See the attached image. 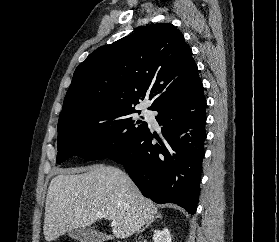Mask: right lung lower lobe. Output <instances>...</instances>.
Wrapping results in <instances>:
<instances>
[{
	"instance_id": "98d812e1",
	"label": "right lung lower lobe",
	"mask_w": 279,
	"mask_h": 242,
	"mask_svg": "<svg viewBox=\"0 0 279 242\" xmlns=\"http://www.w3.org/2000/svg\"><path fill=\"white\" fill-rule=\"evenodd\" d=\"M155 111L159 113L156 120L162 126L163 139L148 128L123 151L107 158L123 164L145 197L158 204L176 203L193 215L205 154L203 85L194 93Z\"/></svg>"
}]
</instances>
